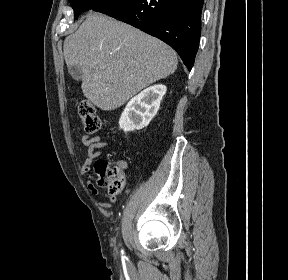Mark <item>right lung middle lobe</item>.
<instances>
[{"label":"right lung middle lobe","mask_w":288,"mask_h":280,"mask_svg":"<svg viewBox=\"0 0 288 280\" xmlns=\"http://www.w3.org/2000/svg\"><path fill=\"white\" fill-rule=\"evenodd\" d=\"M110 0H69L71 7L74 9V19L78 18L81 12L94 9Z\"/></svg>","instance_id":"dd1d6c3e"}]
</instances>
